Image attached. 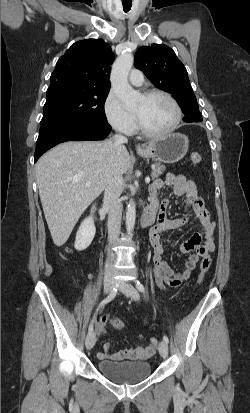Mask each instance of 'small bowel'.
<instances>
[{"label":"small bowel","instance_id":"obj_1","mask_svg":"<svg viewBox=\"0 0 250 413\" xmlns=\"http://www.w3.org/2000/svg\"><path fill=\"white\" fill-rule=\"evenodd\" d=\"M164 186L172 187L174 196L180 197L184 195L186 197V203L193 208V216L198 219L201 227L198 232L180 246L181 253L189 254L184 263V269L180 272H175L164 260L165 250L161 242V234L185 226L189 222L190 217L185 216L176 219H168L166 217L165 211L169 200L168 198L160 199L158 196L159 191ZM150 207L156 210V223L149 234L153 248V271L156 283L161 289H165L167 286L178 288L185 281L189 280L199 259L214 251L215 224L204 206L203 199L198 195L195 182L184 175L169 173L164 180L154 181L150 186ZM202 238L204 239L203 244H201ZM97 327L101 334L104 333V326L101 323ZM110 348V343H105V351L97 353V358L99 360L110 359L117 361L126 359L147 360L155 352V347L142 344L117 352H111Z\"/></svg>","mask_w":250,"mask_h":413}]
</instances>
